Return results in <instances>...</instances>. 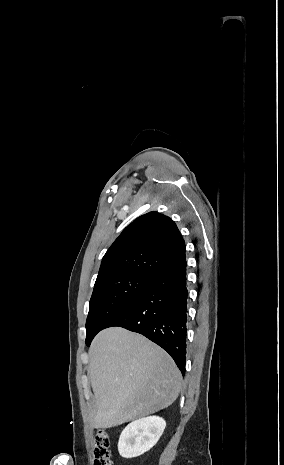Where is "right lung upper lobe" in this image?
Here are the masks:
<instances>
[{"mask_svg": "<svg viewBox=\"0 0 284 465\" xmlns=\"http://www.w3.org/2000/svg\"><path fill=\"white\" fill-rule=\"evenodd\" d=\"M183 260L185 242L176 224L152 211L135 219L110 246L96 282L125 274L155 278Z\"/></svg>", "mask_w": 284, "mask_h": 465, "instance_id": "cb5924a9", "label": "right lung upper lobe"}]
</instances>
